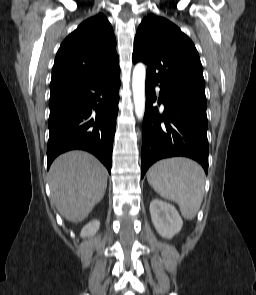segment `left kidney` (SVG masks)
<instances>
[{"label":"left kidney","instance_id":"obj_1","mask_svg":"<svg viewBox=\"0 0 256 295\" xmlns=\"http://www.w3.org/2000/svg\"><path fill=\"white\" fill-rule=\"evenodd\" d=\"M150 214L156 231L163 238L171 239L183 226V220L176 208L162 200L151 201Z\"/></svg>","mask_w":256,"mask_h":295}]
</instances>
